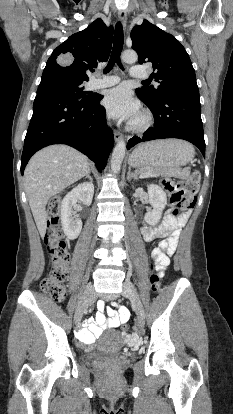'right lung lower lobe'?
<instances>
[{
  "label": "right lung lower lobe",
  "instance_id": "98d812e1",
  "mask_svg": "<svg viewBox=\"0 0 233 414\" xmlns=\"http://www.w3.org/2000/svg\"><path fill=\"white\" fill-rule=\"evenodd\" d=\"M103 98L74 100L54 94H37L33 115L24 140L21 174L31 156L51 144H67L81 151L103 170L114 145L113 132L106 125Z\"/></svg>",
  "mask_w": 233,
  "mask_h": 414
}]
</instances>
